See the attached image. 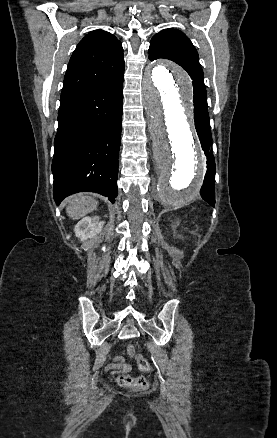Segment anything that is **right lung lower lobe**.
<instances>
[{
  "label": "right lung lower lobe",
  "instance_id": "1",
  "mask_svg": "<svg viewBox=\"0 0 277 438\" xmlns=\"http://www.w3.org/2000/svg\"><path fill=\"white\" fill-rule=\"evenodd\" d=\"M124 72L60 99L52 172L56 204L90 191L117 197Z\"/></svg>",
  "mask_w": 277,
  "mask_h": 438
}]
</instances>
